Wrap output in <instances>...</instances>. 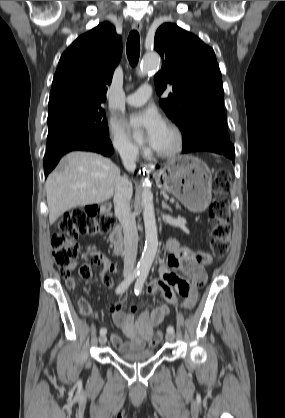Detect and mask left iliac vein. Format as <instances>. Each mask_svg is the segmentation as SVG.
Returning <instances> with one entry per match:
<instances>
[{
  "label": "left iliac vein",
  "instance_id": "obj_1",
  "mask_svg": "<svg viewBox=\"0 0 285 418\" xmlns=\"http://www.w3.org/2000/svg\"><path fill=\"white\" fill-rule=\"evenodd\" d=\"M166 339H167L168 341H174V339H175V335H174V333H167V334H166Z\"/></svg>",
  "mask_w": 285,
  "mask_h": 418
}]
</instances>
